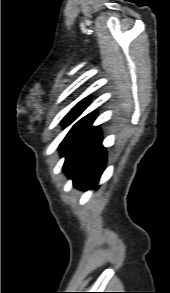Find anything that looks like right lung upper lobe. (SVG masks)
<instances>
[{
	"mask_svg": "<svg viewBox=\"0 0 170 293\" xmlns=\"http://www.w3.org/2000/svg\"><path fill=\"white\" fill-rule=\"evenodd\" d=\"M87 105H88V101L87 100L81 101L73 109L85 108V107H87Z\"/></svg>",
	"mask_w": 170,
	"mask_h": 293,
	"instance_id": "obj_1",
	"label": "right lung upper lobe"
}]
</instances>
